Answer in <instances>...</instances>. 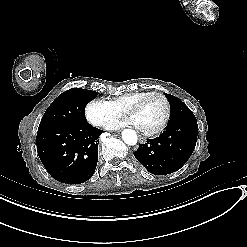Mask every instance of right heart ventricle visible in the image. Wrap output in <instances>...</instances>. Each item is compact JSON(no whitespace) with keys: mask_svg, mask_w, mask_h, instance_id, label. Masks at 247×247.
Returning <instances> with one entry per match:
<instances>
[{"mask_svg":"<svg viewBox=\"0 0 247 247\" xmlns=\"http://www.w3.org/2000/svg\"><path fill=\"white\" fill-rule=\"evenodd\" d=\"M148 92L150 91H139L126 94L116 99L115 104L118 106H132L136 100L143 98Z\"/></svg>","mask_w":247,"mask_h":247,"instance_id":"obj_1","label":"right heart ventricle"}]
</instances>
